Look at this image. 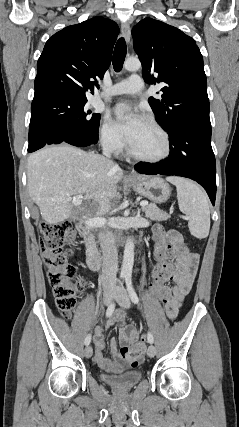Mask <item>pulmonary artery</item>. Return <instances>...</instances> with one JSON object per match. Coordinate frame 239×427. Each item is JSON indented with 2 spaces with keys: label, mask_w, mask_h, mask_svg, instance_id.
<instances>
[{
  "label": "pulmonary artery",
  "mask_w": 239,
  "mask_h": 427,
  "mask_svg": "<svg viewBox=\"0 0 239 427\" xmlns=\"http://www.w3.org/2000/svg\"><path fill=\"white\" fill-rule=\"evenodd\" d=\"M144 88L143 79L138 75H131L128 79L116 83L101 96H117L122 94H138Z\"/></svg>",
  "instance_id": "1"
}]
</instances>
